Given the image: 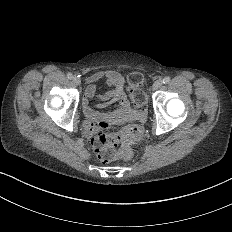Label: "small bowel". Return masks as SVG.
<instances>
[{
	"mask_svg": "<svg viewBox=\"0 0 232 232\" xmlns=\"http://www.w3.org/2000/svg\"><path fill=\"white\" fill-rule=\"evenodd\" d=\"M102 80H105V82L114 89L103 95H98L97 85ZM87 84L88 87L83 93L81 101L85 114L91 122H98L101 125H106L116 114L127 112L129 101L123 90V81L116 70H99L93 76L87 78ZM94 98L107 100L111 106L110 109L104 114L98 113L92 103Z\"/></svg>",
	"mask_w": 232,
	"mask_h": 232,
	"instance_id": "1",
	"label": "small bowel"
}]
</instances>
